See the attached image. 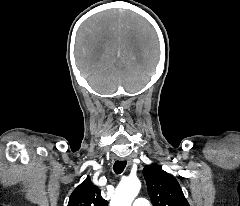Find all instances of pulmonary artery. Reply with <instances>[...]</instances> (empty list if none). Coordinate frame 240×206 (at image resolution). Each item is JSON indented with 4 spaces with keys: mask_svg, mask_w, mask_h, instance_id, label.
Returning a JSON list of instances; mask_svg holds the SVG:
<instances>
[{
    "mask_svg": "<svg viewBox=\"0 0 240 206\" xmlns=\"http://www.w3.org/2000/svg\"><path fill=\"white\" fill-rule=\"evenodd\" d=\"M132 206H151L149 201L145 198H137Z\"/></svg>",
    "mask_w": 240,
    "mask_h": 206,
    "instance_id": "1",
    "label": "pulmonary artery"
}]
</instances>
